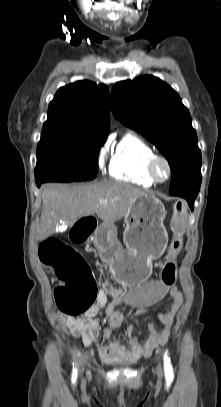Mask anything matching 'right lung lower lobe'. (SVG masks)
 I'll list each match as a JSON object with an SVG mask.
<instances>
[{
    "label": "right lung lower lobe",
    "mask_w": 221,
    "mask_h": 407,
    "mask_svg": "<svg viewBox=\"0 0 221 407\" xmlns=\"http://www.w3.org/2000/svg\"><path fill=\"white\" fill-rule=\"evenodd\" d=\"M42 183H43V182H41V181H36V184H37L38 187H40V185H41Z\"/></svg>",
    "instance_id": "1"
}]
</instances>
